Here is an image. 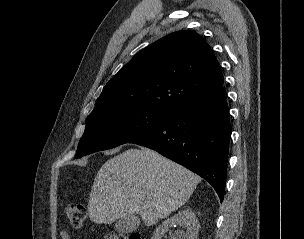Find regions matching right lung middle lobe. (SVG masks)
I'll use <instances>...</instances> for the list:
<instances>
[{"mask_svg": "<svg viewBox=\"0 0 304 239\" xmlns=\"http://www.w3.org/2000/svg\"><path fill=\"white\" fill-rule=\"evenodd\" d=\"M170 113L148 107L108 110L90 116L76 158L129 143L162 124Z\"/></svg>", "mask_w": 304, "mask_h": 239, "instance_id": "dd1d6c3e", "label": "right lung middle lobe"}]
</instances>
